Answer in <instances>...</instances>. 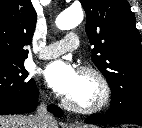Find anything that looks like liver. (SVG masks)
<instances>
[{"instance_id": "6515ba94", "label": "liver", "mask_w": 142, "mask_h": 128, "mask_svg": "<svg viewBox=\"0 0 142 128\" xmlns=\"http://www.w3.org/2000/svg\"><path fill=\"white\" fill-rule=\"evenodd\" d=\"M35 126L33 115H0V128H36Z\"/></svg>"}]
</instances>
